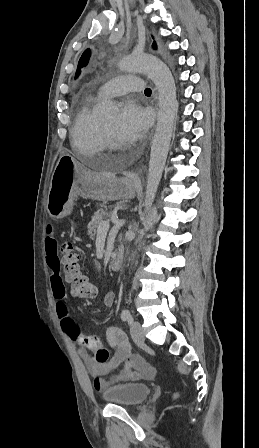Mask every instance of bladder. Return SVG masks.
I'll use <instances>...</instances> for the list:
<instances>
[{
    "label": "bladder",
    "instance_id": "31cf9c89",
    "mask_svg": "<svg viewBox=\"0 0 259 448\" xmlns=\"http://www.w3.org/2000/svg\"><path fill=\"white\" fill-rule=\"evenodd\" d=\"M151 387L146 383H124L108 387L102 398L116 405L136 406L142 403L150 394Z\"/></svg>",
    "mask_w": 259,
    "mask_h": 448
}]
</instances>
